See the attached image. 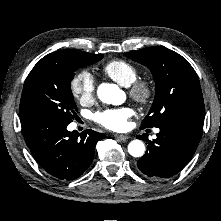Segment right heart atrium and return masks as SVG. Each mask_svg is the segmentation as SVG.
Returning <instances> with one entry per match:
<instances>
[{
	"label": "right heart atrium",
	"mask_w": 221,
	"mask_h": 221,
	"mask_svg": "<svg viewBox=\"0 0 221 221\" xmlns=\"http://www.w3.org/2000/svg\"><path fill=\"white\" fill-rule=\"evenodd\" d=\"M70 91L81 104L92 102L95 95V82L92 75L87 71L76 73L70 82Z\"/></svg>",
	"instance_id": "right-heart-atrium-1"
}]
</instances>
